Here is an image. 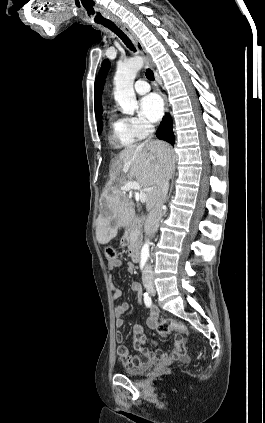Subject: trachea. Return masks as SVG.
<instances>
[{"mask_svg":"<svg viewBox=\"0 0 265 423\" xmlns=\"http://www.w3.org/2000/svg\"><path fill=\"white\" fill-rule=\"evenodd\" d=\"M101 24L107 28H109L111 31H113L118 37L121 38V40L125 43V45L132 51H136L134 45L130 41V39L112 22V21H105L101 22ZM145 75L147 79L153 81L154 80V74L150 69H147L145 72Z\"/></svg>","mask_w":265,"mask_h":423,"instance_id":"trachea-1","label":"trachea"}]
</instances>
